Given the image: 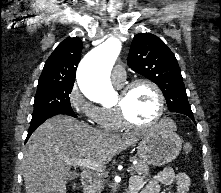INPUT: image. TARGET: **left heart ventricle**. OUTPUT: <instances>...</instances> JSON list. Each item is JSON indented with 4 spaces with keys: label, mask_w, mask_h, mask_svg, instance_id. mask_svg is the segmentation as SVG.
<instances>
[{
    "label": "left heart ventricle",
    "mask_w": 221,
    "mask_h": 193,
    "mask_svg": "<svg viewBox=\"0 0 221 193\" xmlns=\"http://www.w3.org/2000/svg\"><path fill=\"white\" fill-rule=\"evenodd\" d=\"M123 104L129 118L138 123H147L157 112V97L153 89L147 85H140L132 89L127 95L119 94L116 105Z\"/></svg>",
    "instance_id": "left-heart-ventricle-1"
}]
</instances>
